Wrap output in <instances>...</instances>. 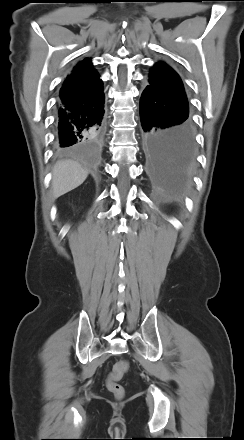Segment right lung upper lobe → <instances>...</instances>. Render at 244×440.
I'll list each match as a JSON object with an SVG mask.
<instances>
[{"label": "right lung upper lobe", "instance_id": "right-lung-upper-lobe-1", "mask_svg": "<svg viewBox=\"0 0 244 440\" xmlns=\"http://www.w3.org/2000/svg\"><path fill=\"white\" fill-rule=\"evenodd\" d=\"M103 93L102 81L90 59L78 63L66 77L60 90L59 103L71 105L91 99Z\"/></svg>", "mask_w": 244, "mask_h": 440}]
</instances>
